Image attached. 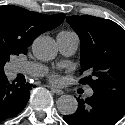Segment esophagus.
Returning <instances> with one entry per match:
<instances>
[{
  "label": "esophagus",
  "mask_w": 125,
  "mask_h": 125,
  "mask_svg": "<svg viewBox=\"0 0 125 125\" xmlns=\"http://www.w3.org/2000/svg\"><path fill=\"white\" fill-rule=\"evenodd\" d=\"M48 87L51 89V91H52L53 93H55V94H57V95H62V94L64 93L62 90L57 89V88H55V87H53V86H48Z\"/></svg>",
  "instance_id": "34e87169"
}]
</instances>
